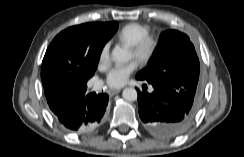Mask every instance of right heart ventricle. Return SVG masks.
<instances>
[{
    "label": "right heart ventricle",
    "instance_id": "e07e8e85",
    "mask_svg": "<svg viewBox=\"0 0 244 157\" xmlns=\"http://www.w3.org/2000/svg\"><path fill=\"white\" fill-rule=\"evenodd\" d=\"M150 29L143 24L131 22L124 25L117 33V38L132 46L141 38L149 35Z\"/></svg>",
    "mask_w": 244,
    "mask_h": 157
}]
</instances>
